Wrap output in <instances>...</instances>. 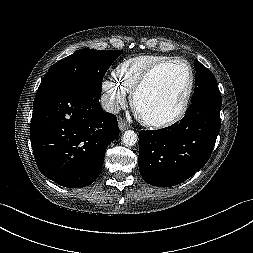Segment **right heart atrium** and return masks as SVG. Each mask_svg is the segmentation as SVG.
Returning a JSON list of instances; mask_svg holds the SVG:
<instances>
[{
  "instance_id": "d8ad5b80",
  "label": "right heart atrium",
  "mask_w": 253,
  "mask_h": 253,
  "mask_svg": "<svg viewBox=\"0 0 253 253\" xmlns=\"http://www.w3.org/2000/svg\"><path fill=\"white\" fill-rule=\"evenodd\" d=\"M102 90L107 97V108L116 111L126 103V93L121 90L113 81L103 80Z\"/></svg>"
}]
</instances>
